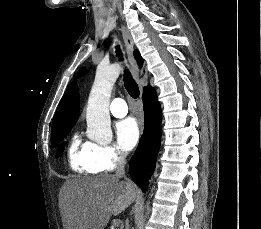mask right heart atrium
<instances>
[{
    "label": "right heart atrium",
    "mask_w": 261,
    "mask_h": 229,
    "mask_svg": "<svg viewBox=\"0 0 261 229\" xmlns=\"http://www.w3.org/2000/svg\"><path fill=\"white\" fill-rule=\"evenodd\" d=\"M92 163L96 172H111L125 165L126 153L115 143H97Z\"/></svg>",
    "instance_id": "obj_1"
}]
</instances>
